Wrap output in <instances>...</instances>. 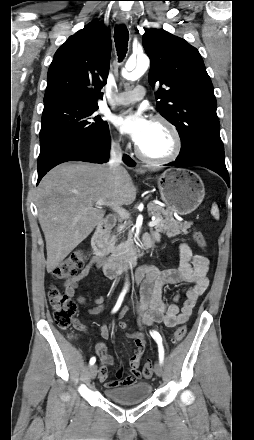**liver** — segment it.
<instances>
[{"label":"liver","instance_id":"liver-1","mask_svg":"<svg viewBox=\"0 0 254 440\" xmlns=\"http://www.w3.org/2000/svg\"><path fill=\"white\" fill-rule=\"evenodd\" d=\"M136 194L137 187L123 167L113 173L107 164L63 163L47 173L37 189L47 272L59 266L103 219L105 210L93 203L130 205Z\"/></svg>","mask_w":254,"mask_h":440}]
</instances>
